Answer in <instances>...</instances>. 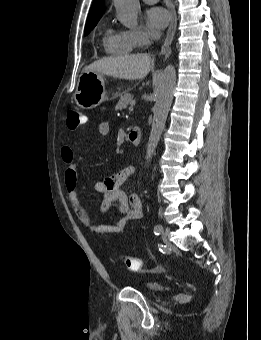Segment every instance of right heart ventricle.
I'll use <instances>...</instances> for the list:
<instances>
[{"instance_id":"obj_1","label":"right heart ventricle","mask_w":261,"mask_h":340,"mask_svg":"<svg viewBox=\"0 0 261 340\" xmlns=\"http://www.w3.org/2000/svg\"><path fill=\"white\" fill-rule=\"evenodd\" d=\"M103 46L106 53L111 55H128L137 48L127 31H115L111 28L104 33Z\"/></svg>"}]
</instances>
